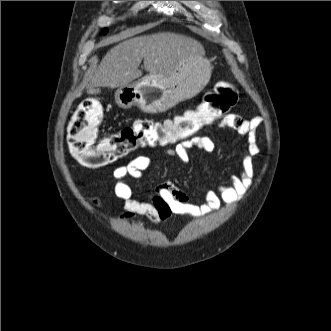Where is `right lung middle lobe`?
<instances>
[{
	"mask_svg": "<svg viewBox=\"0 0 331 331\" xmlns=\"http://www.w3.org/2000/svg\"><path fill=\"white\" fill-rule=\"evenodd\" d=\"M107 31H108V29H107V28H105V29L103 30V33H104V34H106V33H107Z\"/></svg>",
	"mask_w": 331,
	"mask_h": 331,
	"instance_id": "obj_1",
	"label": "right lung middle lobe"
}]
</instances>
